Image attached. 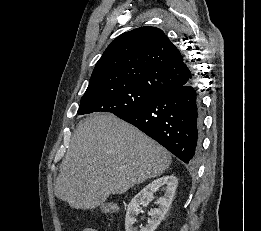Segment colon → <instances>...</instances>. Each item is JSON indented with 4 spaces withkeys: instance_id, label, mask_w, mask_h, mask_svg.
<instances>
[{
    "instance_id": "colon-1",
    "label": "colon",
    "mask_w": 261,
    "mask_h": 231,
    "mask_svg": "<svg viewBox=\"0 0 261 231\" xmlns=\"http://www.w3.org/2000/svg\"><path fill=\"white\" fill-rule=\"evenodd\" d=\"M98 210L103 214H112L116 211V205L113 203H105L100 205Z\"/></svg>"
}]
</instances>
